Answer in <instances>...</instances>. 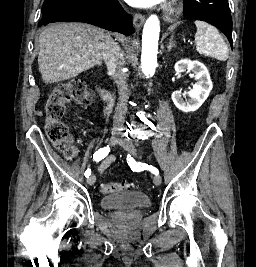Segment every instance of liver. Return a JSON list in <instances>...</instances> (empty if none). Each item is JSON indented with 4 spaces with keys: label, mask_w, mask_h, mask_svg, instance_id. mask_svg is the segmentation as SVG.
I'll use <instances>...</instances> for the list:
<instances>
[{
    "label": "liver",
    "mask_w": 256,
    "mask_h": 267,
    "mask_svg": "<svg viewBox=\"0 0 256 267\" xmlns=\"http://www.w3.org/2000/svg\"><path fill=\"white\" fill-rule=\"evenodd\" d=\"M111 40L90 24H50L39 36V72L45 84L76 78L100 64L101 44Z\"/></svg>",
    "instance_id": "1"
}]
</instances>
